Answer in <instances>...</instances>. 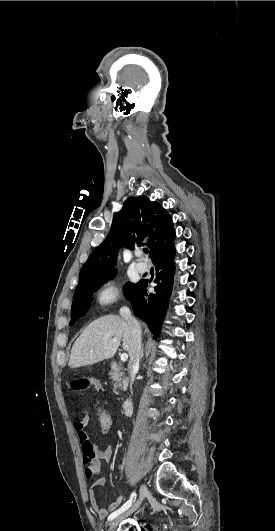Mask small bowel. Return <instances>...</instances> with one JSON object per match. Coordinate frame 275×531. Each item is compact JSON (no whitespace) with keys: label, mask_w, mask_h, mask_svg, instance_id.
Segmentation results:
<instances>
[{"label":"small bowel","mask_w":275,"mask_h":531,"mask_svg":"<svg viewBox=\"0 0 275 531\" xmlns=\"http://www.w3.org/2000/svg\"><path fill=\"white\" fill-rule=\"evenodd\" d=\"M98 377L96 374L91 373L89 375H75L71 378V383L75 386H80L82 391L97 392L100 390L101 385L97 382ZM72 393L79 394V388L73 387ZM81 415L86 413L84 408L79 410ZM88 419L87 417H82L74 422V429L77 433L81 447L84 449L86 446L93 445L88 433L85 430ZM113 450L110 446H105L101 448L96 458L91 461L94 466H98L100 462L108 463L112 458ZM106 484V478L103 475H98L94 482L92 483L89 489V503L92 509L95 511L98 519L104 520L110 512L114 511L122 502V498L112 500L106 507H102L99 503L96 490L100 487H103Z\"/></svg>","instance_id":"small-bowel-1"}]
</instances>
